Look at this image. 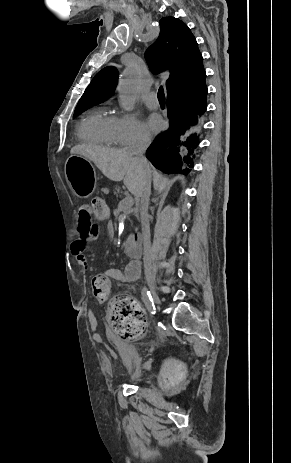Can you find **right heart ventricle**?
Returning <instances> with one entry per match:
<instances>
[{
    "label": "right heart ventricle",
    "mask_w": 291,
    "mask_h": 463,
    "mask_svg": "<svg viewBox=\"0 0 291 463\" xmlns=\"http://www.w3.org/2000/svg\"><path fill=\"white\" fill-rule=\"evenodd\" d=\"M115 118L105 109H97L88 113L81 119L77 127L78 138L89 144L118 145Z\"/></svg>",
    "instance_id": "1"
}]
</instances>
